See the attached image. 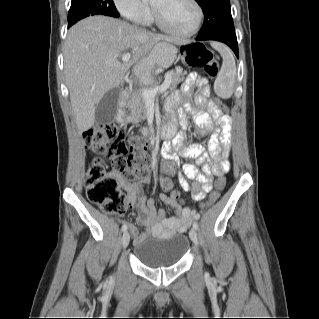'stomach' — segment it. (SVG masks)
Listing matches in <instances>:
<instances>
[{"mask_svg":"<svg viewBox=\"0 0 319 319\" xmlns=\"http://www.w3.org/2000/svg\"><path fill=\"white\" fill-rule=\"evenodd\" d=\"M177 48L168 42H160L153 49V61L147 66L138 65L135 68V74L143 84H151L153 78L151 71L155 67H169L175 60Z\"/></svg>","mask_w":319,"mask_h":319,"instance_id":"0dacf381","label":"stomach"}]
</instances>
